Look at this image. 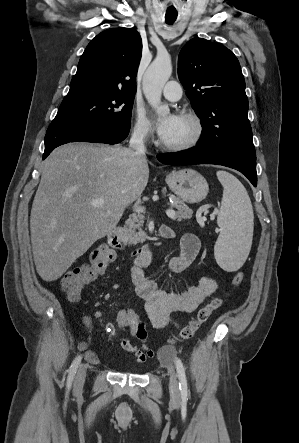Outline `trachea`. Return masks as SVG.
Segmentation results:
<instances>
[{
	"label": "trachea",
	"instance_id": "1",
	"mask_svg": "<svg viewBox=\"0 0 299 443\" xmlns=\"http://www.w3.org/2000/svg\"><path fill=\"white\" fill-rule=\"evenodd\" d=\"M176 18H177L176 13L166 12L165 21L167 24H170V25L173 24L175 22Z\"/></svg>",
	"mask_w": 299,
	"mask_h": 443
}]
</instances>
